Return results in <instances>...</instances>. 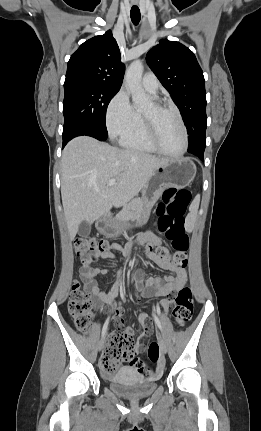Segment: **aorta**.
<instances>
[{"mask_svg": "<svg viewBox=\"0 0 261 431\" xmlns=\"http://www.w3.org/2000/svg\"><path fill=\"white\" fill-rule=\"evenodd\" d=\"M143 64L140 60L133 61L127 69L125 84L132 95L135 107L140 108L149 103V98L144 91L141 79L143 74Z\"/></svg>", "mask_w": 261, "mask_h": 431, "instance_id": "aorta-1", "label": "aorta"}]
</instances>
